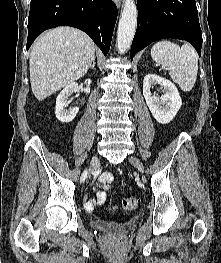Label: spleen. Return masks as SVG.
Instances as JSON below:
<instances>
[{
    "label": "spleen",
    "instance_id": "obj_1",
    "mask_svg": "<svg viewBox=\"0 0 221 263\" xmlns=\"http://www.w3.org/2000/svg\"><path fill=\"white\" fill-rule=\"evenodd\" d=\"M151 56L169 70L171 79L181 90H192L197 78L198 56L191 45L185 44L180 48L171 41H159L152 47Z\"/></svg>",
    "mask_w": 221,
    "mask_h": 263
}]
</instances>
